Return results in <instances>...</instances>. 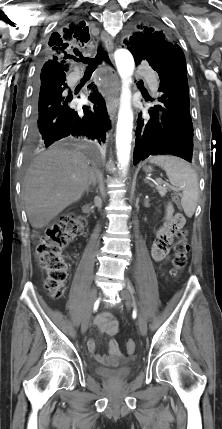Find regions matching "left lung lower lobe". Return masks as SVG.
<instances>
[{"label": "left lung lower lobe", "instance_id": "1", "mask_svg": "<svg viewBox=\"0 0 222 429\" xmlns=\"http://www.w3.org/2000/svg\"><path fill=\"white\" fill-rule=\"evenodd\" d=\"M138 65L143 58L134 55ZM160 77L159 105L139 114L136 127L134 165L150 155L171 154L191 162L193 123L186 66L175 49L160 51L149 64Z\"/></svg>", "mask_w": 222, "mask_h": 429}]
</instances>
